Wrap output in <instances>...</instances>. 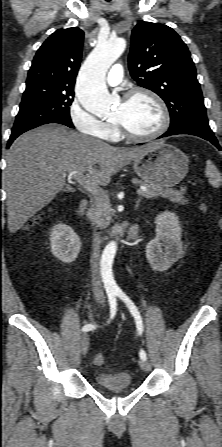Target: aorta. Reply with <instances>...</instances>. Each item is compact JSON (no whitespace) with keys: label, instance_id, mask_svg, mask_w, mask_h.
Masks as SVG:
<instances>
[{"label":"aorta","instance_id":"762f6f07","mask_svg":"<svg viewBox=\"0 0 222 447\" xmlns=\"http://www.w3.org/2000/svg\"><path fill=\"white\" fill-rule=\"evenodd\" d=\"M125 48L126 41L122 37L98 43L82 65L76 96L88 112L101 117L109 114L113 108L115 100L106 88L105 75ZM116 250V242H110L104 249L103 259L112 263ZM106 279L113 282L111 270L106 273Z\"/></svg>","mask_w":222,"mask_h":447}]
</instances>
